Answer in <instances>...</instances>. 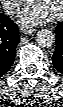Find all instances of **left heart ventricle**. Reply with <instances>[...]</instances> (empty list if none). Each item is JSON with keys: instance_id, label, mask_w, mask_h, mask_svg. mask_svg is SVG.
Here are the masks:
<instances>
[{"instance_id": "left-heart-ventricle-1", "label": "left heart ventricle", "mask_w": 63, "mask_h": 107, "mask_svg": "<svg viewBox=\"0 0 63 107\" xmlns=\"http://www.w3.org/2000/svg\"><path fill=\"white\" fill-rule=\"evenodd\" d=\"M32 3H36L40 5L42 8H44L47 12H49L51 15L57 12V10L60 7V0L57 1H50V0H35L32 1Z\"/></svg>"}]
</instances>
